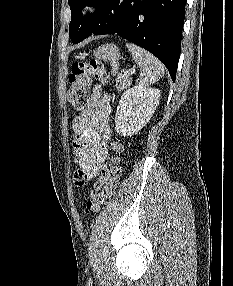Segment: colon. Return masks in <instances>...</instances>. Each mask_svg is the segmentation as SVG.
I'll list each match as a JSON object with an SVG mask.
<instances>
[{
    "instance_id": "1",
    "label": "colon",
    "mask_w": 233,
    "mask_h": 286,
    "mask_svg": "<svg viewBox=\"0 0 233 286\" xmlns=\"http://www.w3.org/2000/svg\"><path fill=\"white\" fill-rule=\"evenodd\" d=\"M92 79L99 80L104 84L110 82V77L100 61L93 60L89 63L75 62L72 64L69 76L68 101L74 110L81 111L87 106ZM121 148L119 142L115 141L111 144V149L115 155L102 168L101 176L91 192L90 199L86 202L84 209L86 214L97 213L108 203L118 187L121 175L118 153H120Z\"/></svg>"
}]
</instances>
